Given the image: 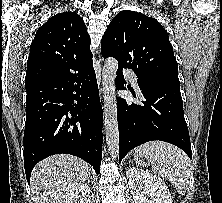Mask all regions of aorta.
I'll return each mask as SVG.
<instances>
[{"label":"aorta","mask_w":222,"mask_h":203,"mask_svg":"<svg viewBox=\"0 0 222 203\" xmlns=\"http://www.w3.org/2000/svg\"><path fill=\"white\" fill-rule=\"evenodd\" d=\"M118 62L115 58L106 59L102 71L104 97V125L108 151L113 158L119 156V129L115 96V77Z\"/></svg>","instance_id":"aorta-1"}]
</instances>
